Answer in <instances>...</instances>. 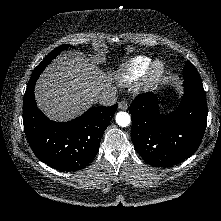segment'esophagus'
Returning a JSON list of instances; mask_svg holds the SVG:
<instances>
[{
    "mask_svg": "<svg viewBox=\"0 0 221 221\" xmlns=\"http://www.w3.org/2000/svg\"><path fill=\"white\" fill-rule=\"evenodd\" d=\"M118 108L121 110H126L128 108V104L126 101L122 100L118 103Z\"/></svg>",
    "mask_w": 221,
    "mask_h": 221,
    "instance_id": "34e87169",
    "label": "esophagus"
}]
</instances>
